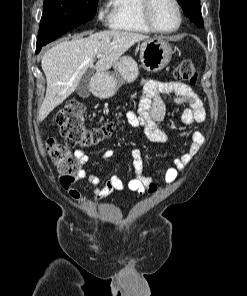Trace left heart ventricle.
<instances>
[{
  "label": "left heart ventricle",
  "instance_id": "left-heart-ventricle-1",
  "mask_svg": "<svg viewBox=\"0 0 247 296\" xmlns=\"http://www.w3.org/2000/svg\"><path fill=\"white\" fill-rule=\"evenodd\" d=\"M152 17L156 26L163 30H169L178 22L177 12L170 0H154Z\"/></svg>",
  "mask_w": 247,
  "mask_h": 296
}]
</instances>
